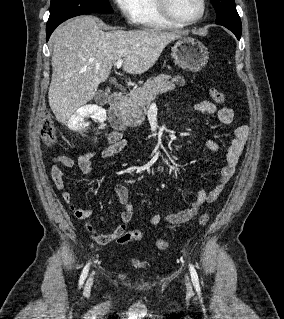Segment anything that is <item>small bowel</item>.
I'll list each match as a JSON object with an SVG mask.
<instances>
[{
    "label": "small bowel",
    "instance_id": "small-bowel-1",
    "mask_svg": "<svg viewBox=\"0 0 284 319\" xmlns=\"http://www.w3.org/2000/svg\"><path fill=\"white\" fill-rule=\"evenodd\" d=\"M194 109L200 113L207 115H215L218 120L226 125H229L234 120V112L231 108L223 107L217 108L212 102L204 100L195 104ZM248 128L240 126L235 129L230 143L228 144L225 155L224 165L222 166L216 185L209 191L200 189L195 200L185 209L178 212H167L163 214H152L148 216V222L151 225H158L162 220L170 224H181L191 220L200 210L204 203L215 202L225 186L232 178L235 167L243 152L247 140ZM108 148L102 153L103 158L112 157L128 147V143L122 138L121 133L112 131L107 135ZM206 146L212 151H219V146L216 142L209 140ZM95 152L87 150L80 154L77 158V165L82 173L90 175L92 173L91 159ZM55 164L51 169V176L56 187L62 192V198L67 205H69L74 216L83 221V225L93 240L99 244H106L112 240H117L126 230L127 225L131 221L134 214V206L128 200V188L124 185H117L115 192L120 205L123 207L121 213V223L111 233H103L97 230L89 221L92 211L87 208H80L72 203V195L66 189L63 179L64 169L74 166V160L64 154L57 155L54 159Z\"/></svg>",
    "mask_w": 284,
    "mask_h": 319
}]
</instances>
